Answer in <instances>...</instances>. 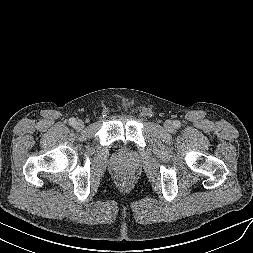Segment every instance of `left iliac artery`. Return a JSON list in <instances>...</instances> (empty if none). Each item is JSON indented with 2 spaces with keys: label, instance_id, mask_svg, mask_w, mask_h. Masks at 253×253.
Here are the masks:
<instances>
[{
  "label": "left iliac artery",
  "instance_id": "44dca946",
  "mask_svg": "<svg viewBox=\"0 0 253 253\" xmlns=\"http://www.w3.org/2000/svg\"><path fill=\"white\" fill-rule=\"evenodd\" d=\"M174 126H175L176 128H179V127H180V122L175 121V122H174Z\"/></svg>",
  "mask_w": 253,
  "mask_h": 253
}]
</instances>
